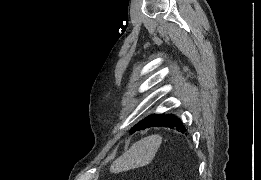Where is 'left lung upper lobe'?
<instances>
[{
    "mask_svg": "<svg viewBox=\"0 0 261 180\" xmlns=\"http://www.w3.org/2000/svg\"><path fill=\"white\" fill-rule=\"evenodd\" d=\"M161 116V114H153L149 117L145 118L144 120L140 121L138 124H136L131 130L130 133H134L139 130H143L151 126L155 121Z\"/></svg>",
    "mask_w": 261,
    "mask_h": 180,
    "instance_id": "5c2ea615",
    "label": "left lung upper lobe"
}]
</instances>
